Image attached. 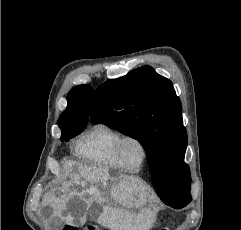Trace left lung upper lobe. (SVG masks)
Listing matches in <instances>:
<instances>
[{
    "instance_id": "1",
    "label": "left lung upper lobe",
    "mask_w": 241,
    "mask_h": 230,
    "mask_svg": "<svg viewBox=\"0 0 241 230\" xmlns=\"http://www.w3.org/2000/svg\"><path fill=\"white\" fill-rule=\"evenodd\" d=\"M182 105L172 82L150 66L108 80L92 102L91 123H103L137 139L146 151L149 169L160 176L156 191L168 205L191 201V175L184 163L187 133Z\"/></svg>"
}]
</instances>
